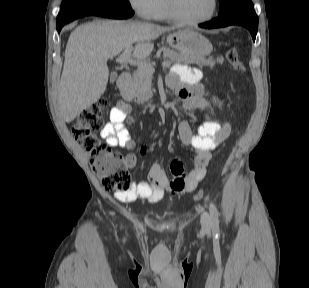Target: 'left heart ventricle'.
Here are the masks:
<instances>
[{
  "instance_id": "left-heart-ventricle-1",
  "label": "left heart ventricle",
  "mask_w": 309,
  "mask_h": 288,
  "mask_svg": "<svg viewBox=\"0 0 309 288\" xmlns=\"http://www.w3.org/2000/svg\"><path fill=\"white\" fill-rule=\"evenodd\" d=\"M178 14L189 20L206 17L212 9V0H174Z\"/></svg>"
}]
</instances>
